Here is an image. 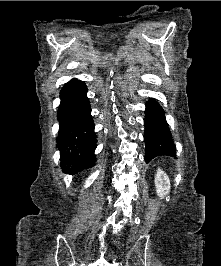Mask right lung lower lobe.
<instances>
[{
	"instance_id": "right-lung-lower-lobe-1",
	"label": "right lung lower lobe",
	"mask_w": 221,
	"mask_h": 266,
	"mask_svg": "<svg viewBox=\"0 0 221 266\" xmlns=\"http://www.w3.org/2000/svg\"><path fill=\"white\" fill-rule=\"evenodd\" d=\"M87 91L83 81H69L60 91L61 103L57 113L61 166L76 172L95 165L97 140Z\"/></svg>"
}]
</instances>
